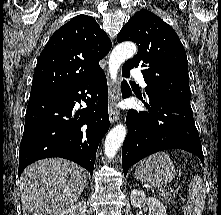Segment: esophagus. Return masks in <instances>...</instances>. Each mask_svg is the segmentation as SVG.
<instances>
[{"mask_svg": "<svg viewBox=\"0 0 221 215\" xmlns=\"http://www.w3.org/2000/svg\"><path fill=\"white\" fill-rule=\"evenodd\" d=\"M108 97H109V119L111 123L119 119V112L116 108V103L119 100V92L117 88L108 81Z\"/></svg>", "mask_w": 221, "mask_h": 215, "instance_id": "34e87169", "label": "esophagus"}]
</instances>
